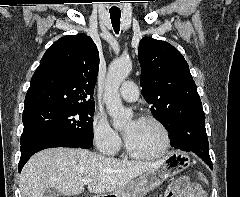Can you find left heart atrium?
Listing matches in <instances>:
<instances>
[{"instance_id":"obj_1","label":"left heart atrium","mask_w":240,"mask_h":197,"mask_svg":"<svg viewBox=\"0 0 240 197\" xmlns=\"http://www.w3.org/2000/svg\"><path fill=\"white\" fill-rule=\"evenodd\" d=\"M136 124H137V121H133L132 128L127 133H125V138L126 139L130 136V134H131V132H132V130L135 127Z\"/></svg>"}]
</instances>
